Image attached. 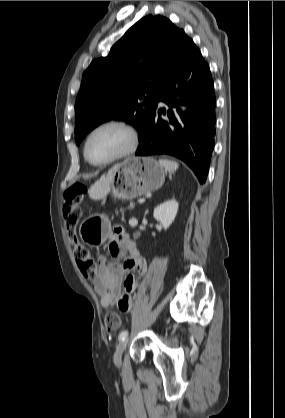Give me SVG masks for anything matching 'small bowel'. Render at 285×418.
Segmentation results:
<instances>
[{
	"label": "small bowel",
	"mask_w": 285,
	"mask_h": 418,
	"mask_svg": "<svg viewBox=\"0 0 285 418\" xmlns=\"http://www.w3.org/2000/svg\"><path fill=\"white\" fill-rule=\"evenodd\" d=\"M108 250L115 258H121L128 253L129 259L125 264L120 265L108 261L106 255H100L98 274L92 280V286L100 297L102 307L110 308L116 305L121 312L128 313L132 309V296L136 291L137 277L146 274L147 262L123 232L115 234Z\"/></svg>",
	"instance_id": "obj_1"
}]
</instances>
